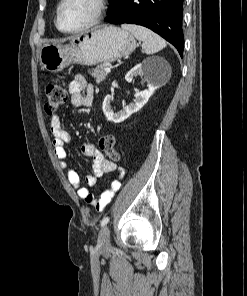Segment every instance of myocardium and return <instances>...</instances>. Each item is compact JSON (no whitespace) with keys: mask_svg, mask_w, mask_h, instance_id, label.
I'll return each instance as SVG.
<instances>
[{"mask_svg":"<svg viewBox=\"0 0 247 296\" xmlns=\"http://www.w3.org/2000/svg\"><path fill=\"white\" fill-rule=\"evenodd\" d=\"M67 1L68 0H61L59 2L56 10V17H55V25L57 29L64 34H78L92 28L93 26H95L101 21L106 10V0H93V3L95 5V11L91 19L86 24H84L79 28L72 29V30H64L60 26V13H61L62 7Z\"/></svg>","mask_w":247,"mask_h":296,"instance_id":"f54148a6","label":"myocardium"}]
</instances>
